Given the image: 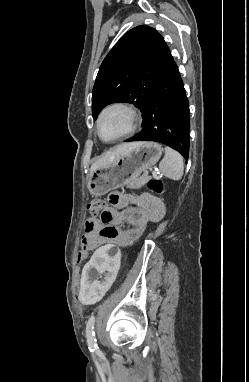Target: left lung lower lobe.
<instances>
[{"label":"left lung lower lobe","mask_w":249,"mask_h":382,"mask_svg":"<svg viewBox=\"0 0 249 382\" xmlns=\"http://www.w3.org/2000/svg\"><path fill=\"white\" fill-rule=\"evenodd\" d=\"M189 102L177 65L172 63L143 115V129L127 141H156L189 156Z\"/></svg>","instance_id":"1"}]
</instances>
